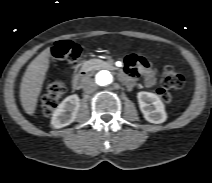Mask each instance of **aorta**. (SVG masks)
Masks as SVG:
<instances>
[{
  "instance_id": "1",
  "label": "aorta",
  "mask_w": 212,
  "mask_h": 183,
  "mask_svg": "<svg viewBox=\"0 0 212 183\" xmlns=\"http://www.w3.org/2000/svg\"><path fill=\"white\" fill-rule=\"evenodd\" d=\"M114 80L113 75L109 71H100L95 75V83L101 87H108Z\"/></svg>"
}]
</instances>
